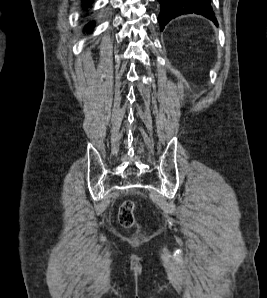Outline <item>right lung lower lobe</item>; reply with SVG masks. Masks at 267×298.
<instances>
[{
    "label": "right lung lower lobe",
    "instance_id": "obj_1",
    "mask_svg": "<svg viewBox=\"0 0 267 298\" xmlns=\"http://www.w3.org/2000/svg\"><path fill=\"white\" fill-rule=\"evenodd\" d=\"M85 2V4L83 5L84 8H87L90 4L91 1L90 0H83ZM93 23H89L86 27L88 28V30H90L91 26Z\"/></svg>",
    "mask_w": 267,
    "mask_h": 298
}]
</instances>
